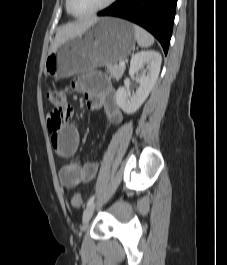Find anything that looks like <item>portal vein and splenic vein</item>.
I'll return each instance as SVG.
<instances>
[{
	"instance_id": "obj_1",
	"label": "portal vein and splenic vein",
	"mask_w": 227,
	"mask_h": 265,
	"mask_svg": "<svg viewBox=\"0 0 227 265\" xmlns=\"http://www.w3.org/2000/svg\"><path fill=\"white\" fill-rule=\"evenodd\" d=\"M119 66L124 67L125 66V62H123V61L119 62Z\"/></svg>"
}]
</instances>
